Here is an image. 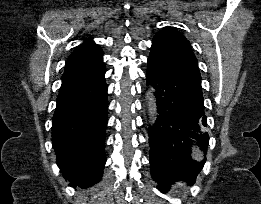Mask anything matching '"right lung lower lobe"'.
Wrapping results in <instances>:
<instances>
[{
	"mask_svg": "<svg viewBox=\"0 0 261 204\" xmlns=\"http://www.w3.org/2000/svg\"><path fill=\"white\" fill-rule=\"evenodd\" d=\"M103 59L65 71L52 121L57 164L70 186L100 181L106 157L107 86Z\"/></svg>",
	"mask_w": 261,
	"mask_h": 204,
	"instance_id": "obj_1",
	"label": "right lung lower lobe"
}]
</instances>
